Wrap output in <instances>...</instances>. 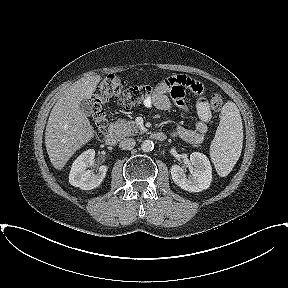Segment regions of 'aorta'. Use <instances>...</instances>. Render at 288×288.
<instances>
[{
	"mask_svg": "<svg viewBox=\"0 0 288 288\" xmlns=\"http://www.w3.org/2000/svg\"><path fill=\"white\" fill-rule=\"evenodd\" d=\"M141 149L144 152H151L154 149V142L151 140H144L141 144Z\"/></svg>",
	"mask_w": 288,
	"mask_h": 288,
	"instance_id": "obj_1",
	"label": "aorta"
}]
</instances>
